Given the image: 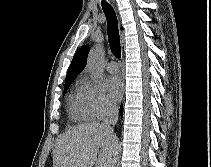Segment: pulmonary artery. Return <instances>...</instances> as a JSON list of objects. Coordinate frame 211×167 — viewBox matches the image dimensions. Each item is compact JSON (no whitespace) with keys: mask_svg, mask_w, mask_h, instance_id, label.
Returning <instances> with one entry per match:
<instances>
[{"mask_svg":"<svg viewBox=\"0 0 211 167\" xmlns=\"http://www.w3.org/2000/svg\"><path fill=\"white\" fill-rule=\"evenodd\" d=\"M106 69L109 73L116 74L119 71V66L115 61H111L110 63H108Z\"/></svg>","mask_w":211,"mask_h":167,"instance_id":"pulmonary-artery-1","label":"pulmonary artery"}]
</instances>
